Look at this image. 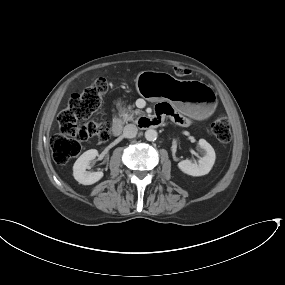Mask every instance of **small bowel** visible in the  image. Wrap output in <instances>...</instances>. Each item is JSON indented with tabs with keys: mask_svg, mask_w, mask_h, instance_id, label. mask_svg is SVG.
<instances>
[{
	"mask_svg": "<svg viewBox=\"0 0 285 285\" xmlns=\"http://www.w3.org/2000/svg\"><path fill=\"white\" fill-rule=\"evenodd\" d=\"M156 113H157L156 121L160 122L164 116L171 113V109L168 106L157 105L156 106ZM186 122H187V120H186Z\"/></svg>",
	"mask_w": 285,
	"mask_h": 285,
	"instance_id": "c3829d8e",
	"label": "small bowel"
}]
</instances>
